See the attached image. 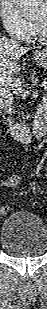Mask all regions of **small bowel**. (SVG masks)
<instances>
[{"label": "small bowel", "instance_id": "small-bowel-1", "mask_svg": "<svg viewBox=\"0 0 47 309\" xmlns=\"http://www.w3.org/2000/svg\"><path fill=\"white\" fill-rule=\"evenodd\" d=\"M19 181V177L18 176H12V177H8L5 181V185L6 186H13L15 184H17Z\"/></svg>", "mask_w": 47, "mask_h": 309}]
</instances>
